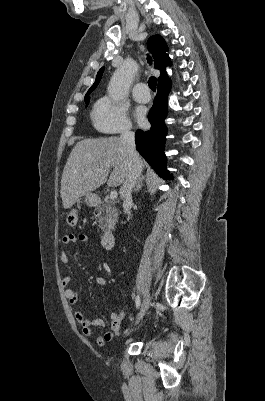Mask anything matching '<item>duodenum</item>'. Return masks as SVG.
I'll list each match as a JSON object with an SVG mask.
<instances>
[{"instance_id":"duodenum-1","label":"duodenum","mask_w":265,"mask_h":401,"mask_svg":"<svg viewBox=\"0 0 265 401\" xmlns=\"http://www.w3.org/2000/svg\"><path fill=\"white\" fill-rule=\"evenodd\" d=\"M101 243L105 249H112L115 245V235L112 232L104 233L101 239Z\"/></svg>"}]
</instances>
